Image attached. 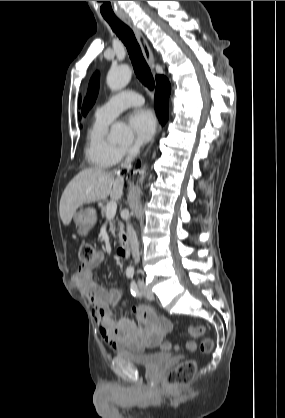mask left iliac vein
Wrapping results in <instances>:
<instances>
[{"mask_svg": "<svg viewBox=\"0 0 285 418\" xmlns=\"http://www.w3.org/2000/svg\"><path fill=\"white\" fill-rule=\"evenodd\" d=\"M138 286L144 297H146L148 300L154 299L153 292L144 284V282L139 281Z\"/></svg>", "mask_w": 285, "mask_h": 418, "instance_id": "left-iliac-vein-1", "label": "left iliac vein"}]
</instances>
